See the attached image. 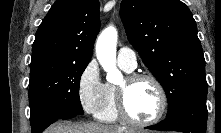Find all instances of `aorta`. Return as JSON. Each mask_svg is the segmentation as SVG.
<instances>
[{
    "instance_id": "1",
    "label": "aorta",
    "mask_w": 221,
    "mask_h": 133,
    "mask_svg": "<svg viewBox=\"0 0 221 133\" xmlns=\"http://www.w3.org/2000/svg\"><path fill=\"white\" fill-rule=\"evenodd\" d=\"M117 38L116 28L109 26L102 31L96 42V57L110 83H115L122 78L121 72L116 67Z\"/></svg>"
}]
</instances>
